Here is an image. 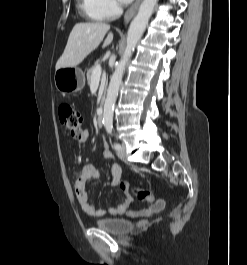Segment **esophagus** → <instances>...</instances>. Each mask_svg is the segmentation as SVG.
<instances>
[{
  "instance_id": "34e87169",
  "label": "esophagus",
  "mask_w": 247,
  "mask_h": 265,
  "mask_svg": "<svg viewBox=\"0 0 247 265\" xmlns=\"http://www.w3.org/2000/svg\"><path fill=\"white\" fill-rule=\"evenodd\" d=\"M140 3H141V0H136L134 4L127 10L124 16L125 23L129 22L133 18V16L136 14Z\"/></svg>"
}]
</instances>
